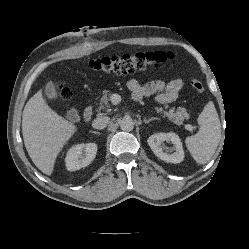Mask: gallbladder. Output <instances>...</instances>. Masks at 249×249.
Wrapping results in <instances>:
<instances>
[{
    "label": "gallbladder",
    "instance_id": "1",
    "mask_svg": "<svg viewBox=\"0 0 249 249\" xmlns=\"http://www.w3.org/2000/svg\"><path fill=\"white\" fill-rule=\"evenodd\" d=\"M44 94L48 99H56L58 97L55 85L52 82H48L45 86ZM67 117L70 120H76L78 118L77 111L71 109L67 112Z\"/></svg>",
    "mask_w": 249,
    "mask_h": 249
}]
</instances>
